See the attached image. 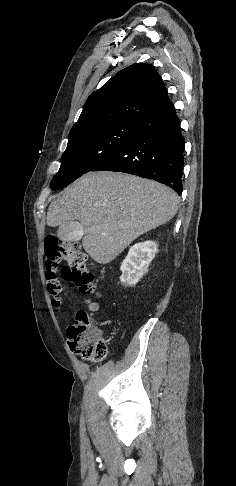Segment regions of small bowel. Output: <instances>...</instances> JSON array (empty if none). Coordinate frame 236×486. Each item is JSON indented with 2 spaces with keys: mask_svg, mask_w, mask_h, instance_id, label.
<instances>
[{
  "mask_svg": "<svg viewBox=\"0 0 236 486\" xmlns=\"http://www.w3.org/2000/svg\"><path fill=\"white\" fill-rule=\"evenodd\" d=\"M96 297L99 298V299H102L103 295L100 292H98V293H96ZM83 304L91 312H97L99 310V303L98 302L92 301L90 299H85L83 301Z\"/></svg>",
  "mask_w": 236,
  "mask_h": 486,
  "instance_id": "obj_1",
  "label": "small bowel"
}]
</instances>
